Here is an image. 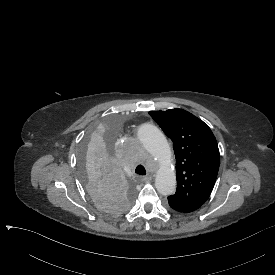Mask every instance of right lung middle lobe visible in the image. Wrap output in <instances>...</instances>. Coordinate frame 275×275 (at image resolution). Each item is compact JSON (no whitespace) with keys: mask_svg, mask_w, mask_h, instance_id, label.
Returning <instances> with one entry per match:
<instances>
[{"mask_svg":"<svg viewBox=\"0 0 275 275\" xmlns=\"http://www.w3.org/2000/svg\"><path fill=\"white\" fill-rule=\"evenodd\" d=\"M119 119L109 117L91 128L78 153L79 181L103 212L119 214L134 201L131 178L115 157L113 136L120 133Z\"/></svg>","mask_w":275,"mask_h":275,"instance_id":"obj_1","label":"right lung middle lobe"}]
</instances>
